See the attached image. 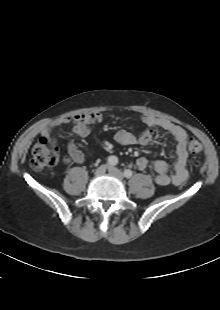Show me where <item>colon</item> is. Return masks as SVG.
<instances>
[{
  "label": "colon",
  "instance_id": "obj_1",
  "mask_svg": "<svg viewBox=\"0 0 220 310\" xmlns=\"http://www.w3.org/2000/svg\"><path fill=\"white\" fill-rule=\"evenodd\" d=\"M203 150L202 144L197 140H191L188 144V151L193 154H199ZM58 150L51 146L45 139L38 141L32 148L30 167L34 170H43L50 168L58 162Z\"/></svg>",
  "mask_w": 220,
  "mask_h": 310
}]
</instances>
